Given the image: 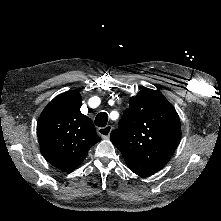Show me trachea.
<instances>
[{
  "instance_id": "trachea-1",
  "label": "trachea",
  "mask_w": 221,
  "mask_h": 221,
  "mask_svg": "<svg viewBox=\"0 0 221 221\" xmlns=\"http://www.w3.org/2000/svg\"><path fill=\"white\" fill-rule=\"evenodd\" d=\"M95 124L98 127H105L107 125L108 122V114L105 112H101L99 113L96 118H95Z\"/></svg>"
}]
</instances>
